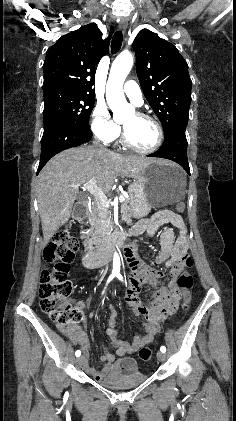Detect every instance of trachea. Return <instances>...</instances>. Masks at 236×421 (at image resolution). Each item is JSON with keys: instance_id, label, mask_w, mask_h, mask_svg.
Here are the masks:
<instances>
[{"instance_id": "1", "label": "trachea", "mask_w": 236, "mask_h": 421, "mask_svg": "<svg viewBox=\"0 0 236 421\" xmlns=\"http://www.w3.org/2000/svg\"><path fill=\"white\" fill-rule=\"evenodd\" d=\"M122 42H123V34H122V30H120V31H117L113 35V38H112V41H111V53L112 54H115L120 50Z\"/></svg>"}]
</instances>
